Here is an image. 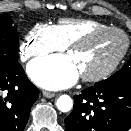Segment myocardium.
I'll return each instance as SVG.
<instances>
[{"mask_svg": "<svg viewBox=\"0 0 131 131\" xmlns=\"http://www.w3.org/2000/svg\"><path fill=\"white\" fill-rule=\"evenodd\" d=\"M110 32L121 34L124 37L125 44H124L123 49L117 55V57L108 66H106L101 71L94 73V74H81V78L84 81L97 82V81L103 80L106 77H108L118 67V65L121 63V61L123 60V58L127 54L129 47H130L129 36L120 28L108 26V27H103V28L91 30V31L81 35L80 37L76 38L75 40H73L72 42H70L67 45V49L69 51H71L73 49H77V48L85 46L93 38H95L98 35H101V34H104V33H110Z\"/></svg>", "mask_w": 131, "mask_h": 131, "instance_id": "myocardium-1", "label": "myocardium"}]
</instances>
